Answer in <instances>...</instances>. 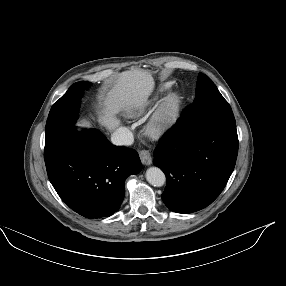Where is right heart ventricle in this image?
Returning a JSON list of instances; mask_svg holds the SVG:
<instances>
[{
	"instance_id": "e07e8e85",
	"label": "right heart ventricle",
	"mask_w": 286,
	"mask_h": 286,
	"mask_svg": "<svg viewBox=\"0 0 286 286\" xmlns=\"http://www.w3.org/2000/svg\"><path fill=\"white\" fill-rule=\"evenodd\" d=\"M170 88V84L166 83L161 86L152 94L144 95L133 99L128 105L126 112L130 117H139L145 113L147 108L156 100L162 93Z\"/></svg>"
}]
</instances>
